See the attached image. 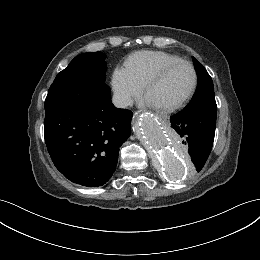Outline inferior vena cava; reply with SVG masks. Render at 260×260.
<instances>
[{"mask_svg": "<svg viewBox=\"0 0 260 260\" xmlns=\"http://www.w3.org/2000/svg\"><path fill=\"white\" fill-rule=\"evenodd\" d=\"M112 102L117 108H125L133 104L132 98L129 95L121 92L114 93Z\"/></svg>", "mask_w": 260, "mask_h": 260, "instance_id": "602c4592", "label": "inferior vena cava"}]
</instances>
